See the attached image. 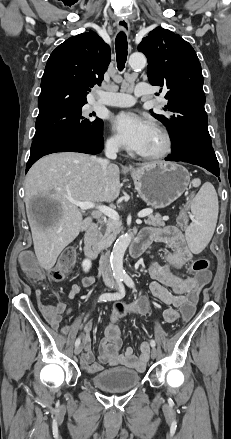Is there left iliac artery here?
Segmentation results:
<instances>
[{"label":"left iliac artery","instance_id":"left-iliac-artery-1","mask_svg":"<svg viewBox=\"0 0 231 439\" xmlns=\"http://www.w3.org/2000/svg\"><path fill=\"white\" fill-rule=\"evenodd\" d=\"M123 281L125 282V284L127 285V286H129V287H134V282H133V280L131 279V277L130 276H128V275H125L124 277H123ZM150 345H151V347H155V345H156V342L154 341V340H151L150 341Z\"/></svg>","mask_w":231,"mask_h":439}]
</instances>
